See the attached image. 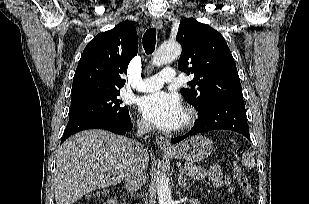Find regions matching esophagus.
I'll list each match as a JSON object with an SVG mask.
<instances>
[{
	"instance_id": "1",
	"label": "esophagus",
	"mask_w": 309,
	"mask_h": 204,
	"mask_svg": "<svg viewBox=\"0 0 309 204\" xmlns=\"http://www.w3.org/2000/svg\"><path fill=\"white\" fill-rule=\"evenodd\" d=\"M152 26L161 29L163 27V22L160 18L154 17L152 19ZM156 145L161 149V150H170L171 149V142L167 137L164 136H156L155 139Z\"/></svg>"
}]
</instances>
